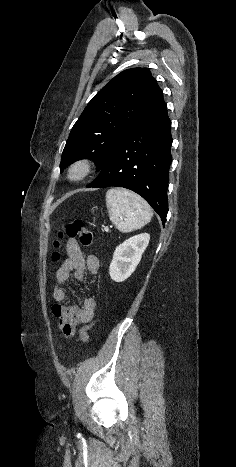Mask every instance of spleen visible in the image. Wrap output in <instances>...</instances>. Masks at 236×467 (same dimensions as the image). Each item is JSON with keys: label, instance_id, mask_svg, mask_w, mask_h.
Listing matches in <instances>:
<instances>
[{"label": "spleen", "instance_id": "spleen-1", "mask_svg": "<svg viewBox=\"0 0 236 467\" xmlns=\"http://www.w3.org/2000/svg\"><path fill=\"white\" fill-rule=\"evenodd\" d=\"M106 206L111 222L123 233L142 228L153 216L151 207L143 198L125 189H109Z\"/></svg>", "mask_w": 236, "mask_h": 467}]
</instances>
